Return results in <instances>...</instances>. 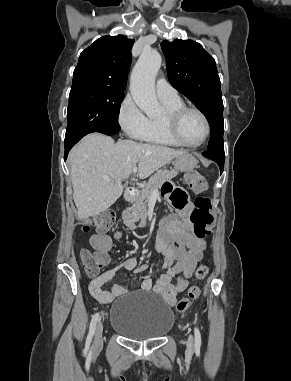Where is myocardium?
<instances>
[{
	"mask_svg": "<svg viewBox=\"0 0 291 381\" xmlns=\"http://www.w3.org/2000/svg\"><path fill=\"white\" fill-rule=\"evenodd\" d=\"M187 112H195L200 115L205 125V134L202 140L196 144H190L186 142L180 135L179 123L183 115ZM164 123L169 135L181 146L188 148H198L202 146L210 135V122L206 114L199 108L194 106L183 105L173 110H169L164 114Z\"/></svg>",
	"mask_w": 291,
	"mask_h": 381,
	"instance_id": "obj_1",
	"label": "myocardium"
}]
</instances>
